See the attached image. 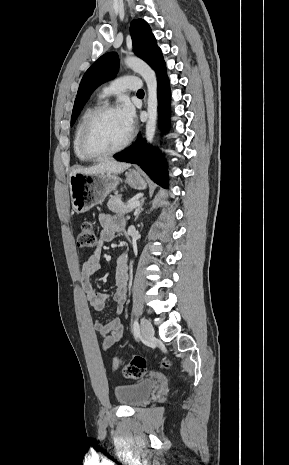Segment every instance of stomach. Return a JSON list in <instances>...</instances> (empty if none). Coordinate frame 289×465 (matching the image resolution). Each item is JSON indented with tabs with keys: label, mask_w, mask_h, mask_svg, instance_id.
Segmentation results:
<instances>
[{
	"label": "stomach",
	"mask_w": 289,
	"mask_h": 465,
	"mask_svg": "<svg viewBox=\"0 0 289 465\" xmlns=\"http://www.w3.org/2000/svg\"><path fill=\"white\" fill-rule=\"evenodd\" d=\"M120 179L116 174L77 173L69 178L70 196L73 209L85 213L102 204L106 196L116 190ZM126 182L132 188H146V181L137 171L126 172Z\"/></svg>",
	"instance_id": "0dacf381"
}]
</instances>
